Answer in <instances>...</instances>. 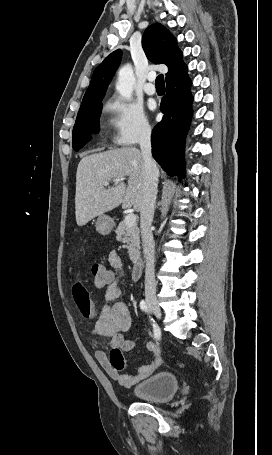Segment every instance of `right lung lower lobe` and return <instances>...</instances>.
Returning <instances> with one entry per match:
<instances>
[{"label":"right lung lower lobe","mask_w":272,"mask_h":455,"mask_svg":"<svg viewBox=\"0 0 272 455\" xmlns=\"http://www.w3.org/2000/svg\"><path fill=\"white\" fill-rule=\"evenodd\" d=\"M160 110L163 119L152 131V155L170 176L181 178L184 170V141L192 117L191 80L187 72L166 82Z\"/></svg>","instance_id":"1"}]
</instances>
